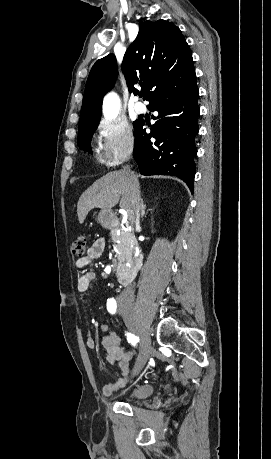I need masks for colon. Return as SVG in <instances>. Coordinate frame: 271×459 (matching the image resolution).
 Segmentation results:
<instances>
[{"instance_id": "obj_1", "label": "colon", "mask_w": 271, "mask_h": 459, "mask_svg": "<svg viewBox=\"0 0 271 459\" xmlns=\"http://www.w3.org/2000/svg\"><path fill=\"white\" fill-rule=\"evenodd\" d=\"M86 248V238L83 235L78 236L72 243V253L77 256L84 254Z\"/></svg>"}]
</instances>
